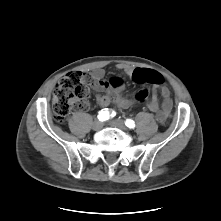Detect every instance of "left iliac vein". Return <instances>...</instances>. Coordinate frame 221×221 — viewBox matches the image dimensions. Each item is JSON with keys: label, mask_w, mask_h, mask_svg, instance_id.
I'll return each mask as SVG.
<instances>
[{"label": "left iliac vein", "mask_w": 221, "mask_h": 221, "mask_svg": "<svg viewBox=\"0 0 221 221\" xmlns=\"http://www.w3.org/2000/svg\"><path fill=\"white\" fill-rule=\"evenodd\" d=\"M109 124L113 127L120 128L122 130H126L125 123L122 120H112L109 122Z\"/></svg>", "instance_id": "left-iliac-vein-1"}]
</instances>
